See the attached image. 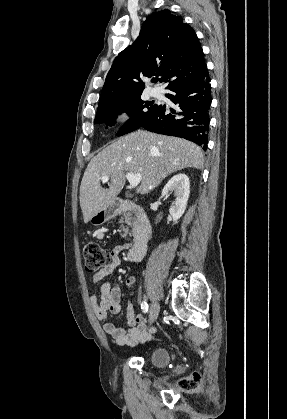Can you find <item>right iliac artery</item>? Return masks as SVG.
<instances>
[{
	"label": "right iliac artery",
	"instance_id": "82829eb1",
	"mask_svg": "<svg viewBox=\"0 0 287 419\" xmlns=\"http://www.w3.org/2000/svg\"><path fill=\"white\" fill-rule=\"evenodd\" d=\"M141 309L144 313L148 312V304L145 301L141 303Z\"/></svg>",
	"mask_w": 287,
	"mask_h": 419
}]
</instances>
